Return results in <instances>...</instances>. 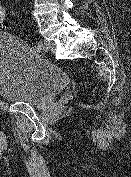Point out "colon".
I'll use <instances>...</instances> for the list:
<instances>
[{
  "mask_svg": "<svg viewBox=\"0 0 131 177\" xmlns=\"http://www.w3.org/2000/svg\"><path fill=\"white\" fill-rule=\"evenodd\" d=\"M7 19H6V8L2 1H0V27L7 28Z\"/></svg>",
  "mask_w": 131,
  "mask_h": 177,
  "instance_id": "obj_1",
  "label": "colon"
}]
</instances>
